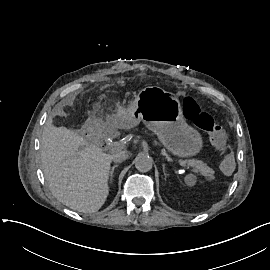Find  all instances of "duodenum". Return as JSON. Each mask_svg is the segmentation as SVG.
Here are the masks:
<instances>
[{
  "mask_svg": "<svg viewBox=\"0 0 270 270\" xmlns=\"http://www.w3.org/2000/svg\"><path fill=\"white\" fill-rule=\"evenodd\" d=\"M118 125L117 121L110 122L104 130V138H112L118 129Z\"/></svg>",
  "mask_w": 270,
  "mask_h": 270,
  "instance_id": "410a0bca",
  "label": "duodenum"
}]
</instances>
